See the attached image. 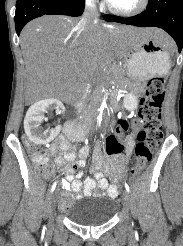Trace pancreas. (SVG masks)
<instances>
[{"label": "pancreas", "instance_id": "obj_1", "mask_svg": "<svg viewBox=\"0 0 183 246\" xmlns=\"http://www.w3.org/2000/svg\"><path fill=\"white\" fill-rule=\"evenodd\" d=\"M119 72H120L121 74H124V73H125L122 69H120Z\"/></svg>", "mask_w": 183, "mask_h": 246}]
</instances>
